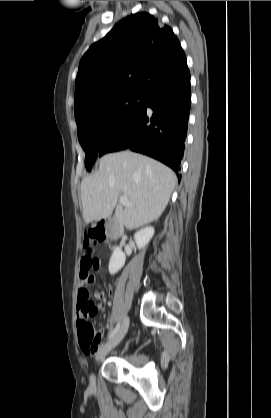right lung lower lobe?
Masks as SVG:
<instances>
[{"label": "right lung lower lobe", "instance_id": "right-lung-lower-lobe-1", "mask_svg": "<svg viewBox=\"0 0 271 418\" xmlns=\"http://www.w3.org/2000/svg\"><path fill=\"white\" fill-rule=\"evenodd\" d=\"M190 104V72L185 62L146 96L135 114L106 137L98 155L131 149L158 159L177 172L184 153Z\"/></svg>", "mask_w": 271, "mask_h": 418}]
</instances>
